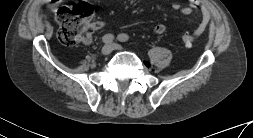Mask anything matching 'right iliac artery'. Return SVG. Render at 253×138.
Masks as SVG:
<instances>
[{"label":"right iliac artery","mask_w":253,"mask_h":138,"mask_svg":"<svg viewBox=\"0 0 253 138\" xmlns=\"http://www.w3.org/2000/svg\"><path fill=\"white\" fill-rule=\"evenodd\" d=\"M114 40V36L112 34H106L102 38V42L105 44H110Z\"/></svg>","instance_id":"1"}]
</instances>
